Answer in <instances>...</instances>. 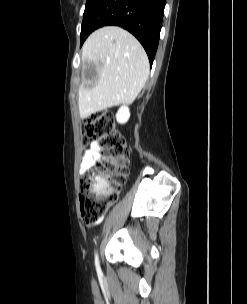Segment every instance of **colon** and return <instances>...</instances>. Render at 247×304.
Listing matches in <instances>:
<instances>
[{
    "instance_id": "5ec220e1",
    "label": "colon",
    "mask_w": 247,
    "mask_h": 304,
    "mask_svg": "<svg viewBox=\"0 0 247 304\" xmlns=\"http://www.w3.org/2000/svg\"><path fill=\"white\" fill-rule=\"evenodd\" d=\"M90 140L98 143L102 157L95 170L79 181L81 216L87 224L95 223L115 203L129 172V151L111 112L98 111L85 120L84 148Z\"/></svg>"
}]
</instances>
